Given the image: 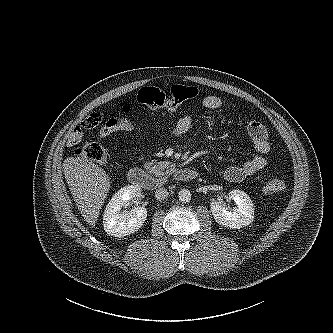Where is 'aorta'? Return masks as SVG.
<instances>
[{"label": "aorta", "mask_w": 333, "mask_h": 333, "mask_svg": "<svg viewBox=\"0 0 333 333\" xmlns=\"http://www.w3.org/2000/svg\"><path fill=\"white\" fill-rule=\"evenodd\" d=\"M179 201L181 202H190L191 200V192L188 189H182L178 193Z\"/></svg>", "instance_id": "aorta-1"}]
</instances>
